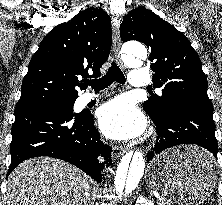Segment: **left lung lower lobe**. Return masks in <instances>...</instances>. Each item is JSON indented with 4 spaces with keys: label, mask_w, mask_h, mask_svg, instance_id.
Returning <instances> with one entry per match:
<instances>
[{
    "label": "left lung lower lobe",
    "mask_w": 222,
    "mask_h": 205,
    "mask_svg": "<svg viewBox=\"0 0 222 205\" xmlns=\"http://www.w3.org/2000/svg\"><path fill=\"white\" fill-rule=\"evenodd\" d=\"M153 122L158 136L153 151L147 154L148 161L168 148L195 144L211 153L201 160L214 164L213 157L217 158V140L212 105L191 100L179 101L171 105L161 121Z\"/></svg>",
    "instance_id": "left-lung-lower-lobe-1"
}]
</instances>
